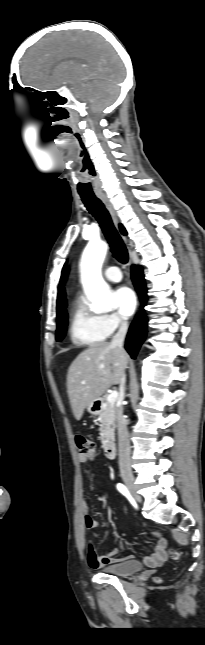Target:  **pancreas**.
<instances>
[{"label": "pancreas", "mask_w": 205, "mask_h": 645, "mask_svg": "<svg viewBox=\"0 0 205 645\" xmlns=\"http://www.w3.org/2000/svg\"><path fill=\"white\" fill-rule=\"evenodd\" d=\"M115 403L109 402L107 397H103V407L99 415L100 422V441L103 445L114 440L115 435Z\"/></svg>", "instance_id": "cf45deb5"}]
</instances>
